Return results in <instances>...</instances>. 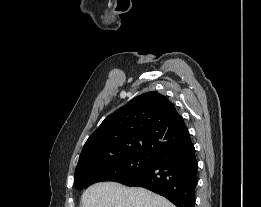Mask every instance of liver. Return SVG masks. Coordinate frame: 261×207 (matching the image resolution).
Listing matches in <instances>:
<instances>
[{
	"label": "liver",
	"mask_w": 261,
	"mask_h": 207,
	"mask_svg": "<svg viewBox=\"0 0 261 207\" xmlns=\"http://www.w3.org/2000/svg\"><path fill=\"white\" fill-rule=\"evenodd\" d=\"M82 207H175L166 198L147 189L126 187L117 182H99L81 197Z\"/></svg>",
	"instance_id": "obj_1"
}]
</instances>
